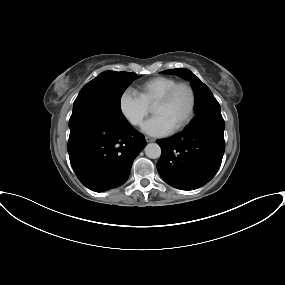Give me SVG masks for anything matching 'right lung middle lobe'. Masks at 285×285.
Returning <instances> with one entry per match:
<instances>
[{"mask_svg":"<svg viewBox=\"0 0 285 285\" xmlns=\"http://www.w3.org/2000/svg\"><path fill=\"white\" fill-rule=\"evenodd\" d=\"M138 77L130 72L106 71L88 82L74 101L69 127L89 118H100L117 124L126 123L120 108V98Z\"/></svg>","mask_w":285,"mask_h":285,"instance_id":"dd1d6c3e","label":"right lung middle lobe"}]
</instances>
